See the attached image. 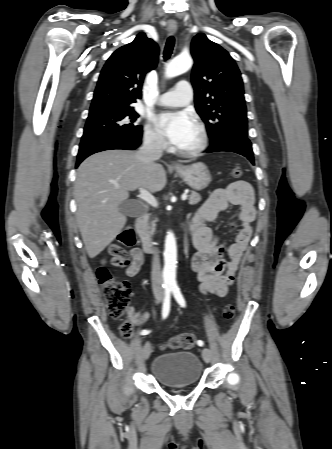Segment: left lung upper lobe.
<instances>
[{
    "label": "left lung upper lobe",
    "instance_id": "5c2ea615",
    "mask_svg": "<svg viewBox=\"0 0 332 449\" xmlns=\"http://www.w3.org/2000/svg\"><path fill=\"white\" fill-rule=\"evenodd\" d=\"M191 53L195 108L211 144L235 134L247 136L243 81L234 59L203 33L193 38Z\"/></svg>",
    "mask_w": 332,
    "mask_h": 449
}]
</instances>
